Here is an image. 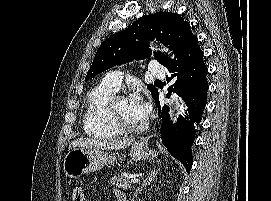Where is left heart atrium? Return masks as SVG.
<instances>
[{
    "label": "left heart atrium",
    "mask_w": 271,
    "mask_h": 201,
    "mask_svg": "<svg viewBox=\"0 0 271 201\" xmlns=\"http://www.w3.org/2000/svg\"><path fill=\"white\" fill-rule=\"evenodd\" d=\"M127 101L133 112V114L140 120H146L152 110L150 100L145 96L141 89L136 90L132 93Z\"/></svg>",
    "instance_id": "1"
}]
</instances>
